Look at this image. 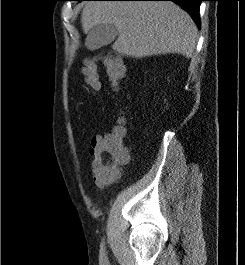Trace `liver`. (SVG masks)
Segmentation results:
<instances>
[{"label": "liver", "mask_w": 245, "mask_h": 265, "mask_svg": "<svg viewBox=\"0 0 245 265\" xmlns=\"http://www.w3.org/2000/svg\"><path fill=\"white\" fill-rule=\"evenodd\" d=\"M88 33L97 24H113L118 53L143 58L178 53L193 57L198 29L190 15L169 1H89L81 15Z\"/></svg>", "instance_id": "1"}]
</instances>
